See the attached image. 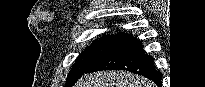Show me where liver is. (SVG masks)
I'll use <instances>...</instances> for the list:
<instances>
[{
    "label": "liver",
    "mask_w": 205,
    "mask_h": 87,
    "mask_svg": "<svg viewBox=\"0 0 205 87\" xmlns=\"http://www.w3.org/2000/svg\"><path fill=\"white\" fill-rule=\"evenodd\" d=\"M74 87H155V84L129 72L100 71L84 75Z\"/></svg>",
    "instance_id": "6515ba94"
}]
</instances>
